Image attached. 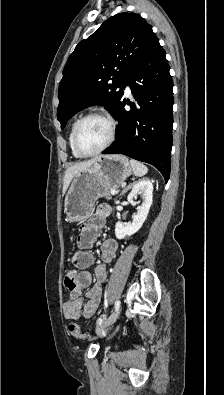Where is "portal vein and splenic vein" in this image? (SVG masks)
Returning a JSON list of instances; mask_svg holds the SVG:
<instances>
[{"label": "portal vein and splenic vein", "mask_w": 224, "mask_h": 395, "mask_svg": "<svg viewBox=\"0 0 224 395\" xmlns=\"http://www.w3.org/2000/svg\"><path fill=\"white\" fill-rule=\"evenodd\" d=\"M110 193H111L112 195H116V194H117V191L111 190Z\"/></svg>", "instance_id": "portal-vein-and-splenic-vein-1"}]
</instances>
